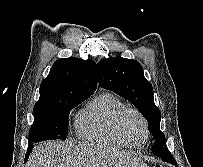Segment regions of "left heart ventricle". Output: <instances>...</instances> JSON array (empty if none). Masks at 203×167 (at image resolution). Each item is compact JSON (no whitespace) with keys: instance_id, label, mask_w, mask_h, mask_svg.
<instances>
[{"instance_id":"obj_1","label":"left heart ventricle","mask_w":203,"mask_h":167,"mask_svg":"<svg viewBox=\"0 0 203 167\" xmlns=\"http://www.w3.org/2000/svg\"><path fill=\"white\" fill-rule=\"evenodd\" d=\"M121 127L128 140L133 144L140 145L144 141V127L137 115L127 114L122 120Z\"/></svg>"}]
</instances>
